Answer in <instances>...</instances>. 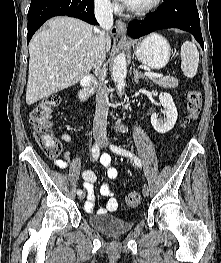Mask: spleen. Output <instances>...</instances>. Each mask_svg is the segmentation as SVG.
Listing matches in <instances>:
<instances>
[{
  "mask_svg": "<svg viewBox=\"0 0 221 263\" xmlns=\"http://www.w3.org/2000/svg\"><path fill=\"white\" fill-rule=\"evenodd\" d=\"M181 69L188 78H193L198 69L199 52L196 45L186 41L181 46Z\"/></svg>",
  "mask_w": 221,
  "mask_h": 263,
  "instance_id": "3e777b00",
  "label": "spleen"
}]
</instances>
